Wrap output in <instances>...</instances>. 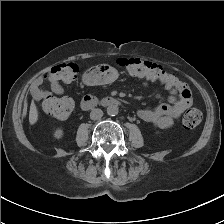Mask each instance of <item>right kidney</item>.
Instances as JSON below:
<instances>
[{
    "mask_svg": "<svg viewBox=\"0 0 224 224\" xmlns=\"http://www.w3.org/2000/svg\"><path fill=\"white\" fill-rule=\"evenodd\" d=\"M63 137H64V130H63V128L62 127L56 128V130L53 133V138L56 141H61Z\"/></svg>",
    "mask_w": 224,
    "mask_h": 224,
    "instance_id": "ca27d5eb",
    "label": "right kidney"
}]
</instances>
